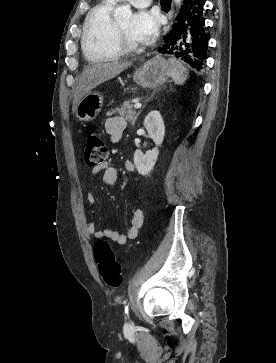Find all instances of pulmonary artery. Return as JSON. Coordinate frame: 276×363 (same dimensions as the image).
Segmentation results:
<instances>
[{
  "instance_id": "obj_1",
  "label": "pulmonary artery",
  "mask_w": 276,
  "mask_h": 363,
  "mask_svg": "<svg viewBox=\"0 0 276 363\" xmlns=\"http://www.w3.org/2000/svg\"><path fill=\"white\" fill-rule=\"evenodd\" d=\"M113 1H120V0H113ZM127 1H129L131 5L137 8H146L151 3V0H127Z\"/></svg>"
}]
</instances>
